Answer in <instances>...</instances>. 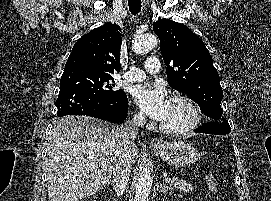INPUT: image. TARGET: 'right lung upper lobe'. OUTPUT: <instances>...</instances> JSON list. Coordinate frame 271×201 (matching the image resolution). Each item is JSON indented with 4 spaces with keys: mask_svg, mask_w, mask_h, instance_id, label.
<instances>
[{
    "mask_svg": "<svg viewBox=\"0 0 271 201\" xmlns=\"http://www.w3.org/2000/svg\"><path fill=\"white\" fill-rule=\"evenodd\" d=\"M120 30L118 25L106 23L83 35L73 46L64 71L81 69L110 75L119 71Z\"/></svg>",
    "mask_w": 271,
    "mask_h": 201,
    "instance_id": "1",
    "label": "right lung upper lobe"
}]
</instances>
